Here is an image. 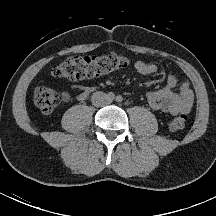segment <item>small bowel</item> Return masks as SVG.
I'll list each match as a JSON object with an SVG mask.
<instances>
[{
	"instance_id": "1",
	"label": "small bowel",
	"mask_w": 216,
	"mask_h": 216,
	"mask_svg": "<svg viewBox=\"0 0 216 216\" xmlns=\"http://www.w3.org/2000/svg\"><path fill=\"white\" fill-rule=\"evenodd\" d=\"M135 68L142 75H150L159 71L157 65L145 61H137ZM72 89L78 92L80 100L86 99L91 92L90 87L81 84H74ZM146 101L153 110L172 115L185 114L193 108L194 93L188 81L179 83L175 74L168 72L166 74V85L156 91L148 92Z\"/></svg>"
}]
</instances>
